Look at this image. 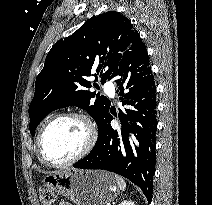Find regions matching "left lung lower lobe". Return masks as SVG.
<instances>
[{"instance_id": "0a47b994", "label": "left lung lower lobe", "mask_w": 212, "mask_h": 205, "mask_svg": "<svg viewBox=\"0 0 212 205\" xmlns=\"http://www.w3.org/2000/svg\"><path fill=\"white\" fill-rule=\"evenodd\" d=\"M117 78V93L127 108L119 110L121 127L114 130L109 108L98 126L92 151L73 167L117 173L139 186L152 200L156 162V87L145 44L138 34L110 79Z\"/></svg>"}]
</instances>
